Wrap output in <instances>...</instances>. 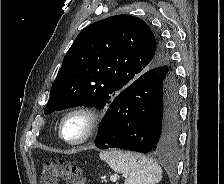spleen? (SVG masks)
<instances>
[{"label":"spleen","instance_id":"spleen-1","mask_svg":"<svg viewBox=\"0 0 224 184\" xmlns=\"http://www.w3.org/2000/svg\"><path fill=\"white\" fill-rule=\"evenodd\" d=\"M99 156L115 172L125 176L124 184H157L162 178L161 167L144 155L111 150L100 152Z\"/></svg>","mask_w":224,"mask_h":184}]
</instances>
